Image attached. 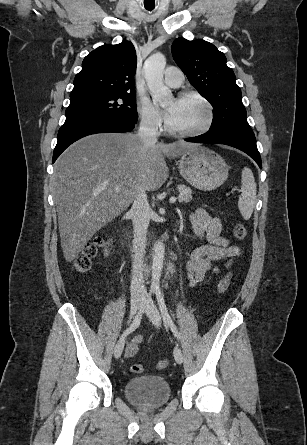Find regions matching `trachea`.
<instances>
[{
    "label": "trachea",
    "instance_id": "trachea-1",
    "mask_svg": "<svg viewBox=\"0 0 307 445\" xmlns=\"http://www.w3.org/2000/svg\"><path fill=\"white\" fill-rule=\"evenodd\" d=\"M146 10H153V8H147Z\"/></svg>",
    "mask_w": 307,
    "mask_h": 445
}]
</instances>
